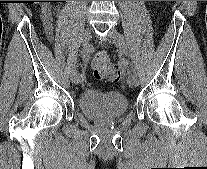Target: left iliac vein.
<instances>
[{"label": "left iliac vein", "mask_w": 207, "mask_h": 169, "mask_svg": "<svg viewBox=\"0 0 207 169\" xmlns=\"http://www.w3.org/2000/svg\"><path fill=\"white\" fill-rule=\"evenodd\" d=\"M109 39L120 49L121 52L126 53L127 45L125 39L121 33L116 29L112 28L108 33ZM127 83L130 87H136L139 85V80L137 76H129L127 78Z\"/></svg>", "instance_id": "4c4485c4"}]
</instances>
